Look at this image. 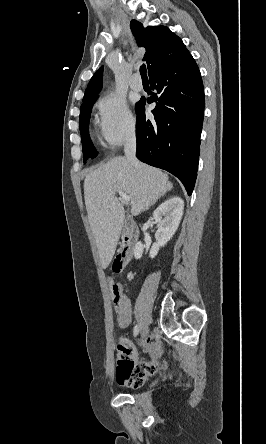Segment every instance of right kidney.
Wrapping results in <instances>:
<instances>
[{"label": "right kidney", "mask_w": 266, "mask_h": 444, "mask_svg": "<svg viewBox=\"0 0 266 444\" xmlns=\"http://www.w3.org/2000/svg\"><path fill=\"white\" fill-rule=\"evenodd\" d=\"M183 209L184 201L180 197H172L153 212V218L158 223V230L155 233L156 242L152 245L149 253L151 258H154L158 254L160 247L165 246L175 234L182 219ZM143 250V244L137 242L134 248V257L140 259ZM127 277L130 279L132 273H129Z\"/></svg>", "instance_id": "right-kidney-1"}]
</instances>
